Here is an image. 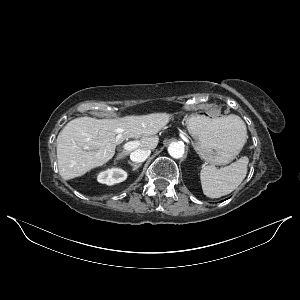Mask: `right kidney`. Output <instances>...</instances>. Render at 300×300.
Returning a JSON list of instances; mask_svg holds the SVG:
<instances>
[{"instance_id": "ca27d5eb", "label": "right kidney", "mask_w": 300, "mask_h": 300, "mask_svg": "<svg viewBox=\"0 0 300 300\" xmlns=\"http://www.w3.org/2000/svg\"><path fill=\"white\" fill-rule=\"evenodd\" d=\"M127 178V172L120 168H111L100 172L97 176L98 182L107 185H114L123 182Z\"/></svg>"}]
</instances>
